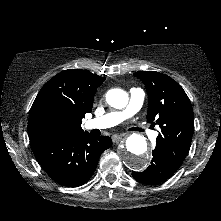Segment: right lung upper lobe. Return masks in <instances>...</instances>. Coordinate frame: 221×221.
<instances>
[{
  "mask_svg": "<svg viewBox=\"0 0 221 221\" xmlns=\"http://www.w3.org/2000/svg\"><path fill=\"white\" fill-rule=\"evenodd\" d=\"M106 78L69 69L51 78L39 91L29 114L30 144L66 135H82V118L92 111L94 94Z\"/></svg>",
  "mask_w": 221,
  "mask_h": 221,
  "instance_id": "right-lung-upper-lobe-1",
  "label": "right lung upper lobe"
}]
</instances>
